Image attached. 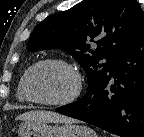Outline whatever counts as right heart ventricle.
I'll return each instance as SVG.
<instances>
[{"label":"right heart ventricle","instance_id":"obj_1","mask_svg":"<svg viewBox=\"0 0 144 137\" xmlns=\"http://www.w3.org/2000/svg\"><path fill=\"white\" fill-rule=\"evenodd\" d=\"M24 76H25V74L21 77V79L19 81L18 89H17V99L22 102L28 101L26 95L24 94V90H23Z\"/></svg>","mask_w":144,"mask_h":137}]
</instances>
